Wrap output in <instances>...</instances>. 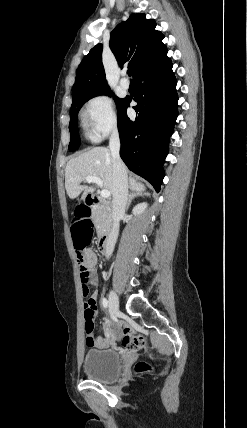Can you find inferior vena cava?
<instances>
[{"label": "inferior vena cava", "instance_id": "inferior-vena-cava-1", "mask_svg": "<svg viewBox=\"0 0 247 428\" xmlns=\"http://www.w3.org/2000/svg\"><path fill=\"white\" fill-rule=\"evenodd\" d=\"M109 147L113 164V201H112V230L106 240V256H111L118 236L119 222L125 213L128 200V180L126 166L120 158V138L117 129L112 131Z\"/></svg>", "mask_w": 247, "mask_h": 428}]
</instances>
